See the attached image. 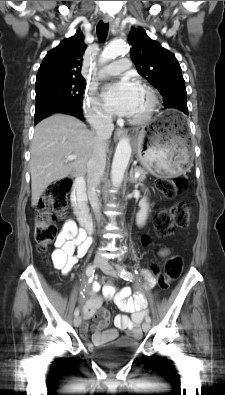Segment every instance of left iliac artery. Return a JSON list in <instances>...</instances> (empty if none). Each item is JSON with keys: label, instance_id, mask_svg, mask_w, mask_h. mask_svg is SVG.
<instances>
[{"label": "left iliac artery", "instance_id": "obj_1", "mask_svg": "<svg viewBox=\"0 0 225 395\" xmlns=\"http://www.w3.org/2000/svg\"><path fill=\"white\" fill-rule=\"evenodd\" d=\"M120 277L127 281H132L134 279V275L131 272L126 271L124 269L120 270ZM145 320L150 323L151 322L150 316L147 315Z\"/></svg>", "mask_w": 225, "mask_h": 395}]
</instances>
